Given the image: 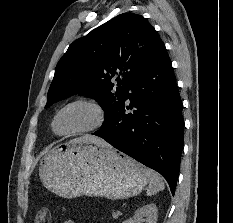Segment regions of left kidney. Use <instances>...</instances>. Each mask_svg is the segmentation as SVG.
<instances>
[{"label": "left kidney", "instance_id": "obj_1", "mask_svg": "<svg viewBox=\"0 0 233 223\" xmlns=\"http://www.w3.org/2000/svg\"><path fill=\"white\" fill-rule=\"evenodd\" d=\"M158 209L155 203H148V205H143L140 209L134 211V215L130 219H125L122 223H141V221H146V223H157Z\"/></svg>", "mask_w": 233, "mask_h": 223}]
</instances>
